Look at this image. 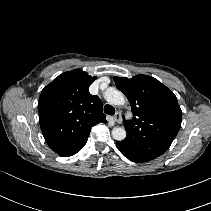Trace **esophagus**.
<instances>
[{
  "mask_svg": "<svg viewBox=\"0 0 211 211\" xmlns=\"http://www.w3.org/2000/svg\"><path fill=\"white\" fill-rule=\"evenodd\" d=\"M113 120L117 123L120 122V120H121V112L120 111L116 112V114L113 116Z\"/></svg>",
  "mask_w": 211,
  "mask_h": 211,
  "instance_id": "34e87169",
  "label": "esophagus"
}]
</instances>
